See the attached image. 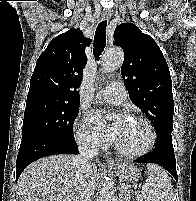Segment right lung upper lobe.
Segmentation results:
<instances>
[{
    "label": "right lung upper lobe",
    "instance_id": "obj_1",
    "mask_svg": "<svg viewBox=\"0 0 196 201\" xmlns=\"http://www.w3.org/2000/svg\"><path fill=\"white\" fill-rule=\"evenodd\" d=\"M90 43L79 29H70L54 38L37 60L27 100L79 102L77 89L87 62L84 49Z\"/></svg>",
    "mask_w": 196,
    "mask_h": 201
}]
</instances>
